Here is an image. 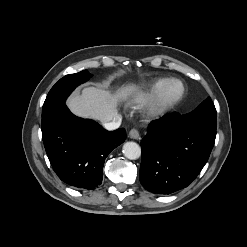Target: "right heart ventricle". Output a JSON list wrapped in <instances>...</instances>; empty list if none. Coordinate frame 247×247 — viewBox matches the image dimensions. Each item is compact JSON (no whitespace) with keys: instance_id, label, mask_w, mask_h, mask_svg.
<instances>
[{"instance_id":"obj_1","label":"right heart ventricle","mask_w":247,"mask_h":247,"mask_svg":"<svg viewBox=\"0 0 247 247\" xmlns=\"http://www.w3.org/2000/svg\"><path fill=\"white\" fill-rule=\"evenodd\" d=\"M167 80V78H160L151 82L149 85H147V87L144 90L140 91L133 97V102L135 104L145 103L157 93V91Z\"/></svg>"}]
</instances>
